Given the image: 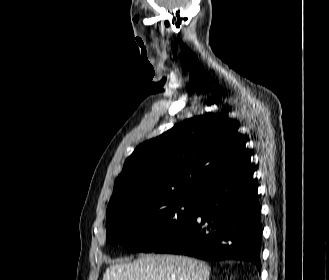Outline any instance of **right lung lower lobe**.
<instances>
[{"label":"right lung lower lobe","instance_id":"1","mask_svg":"<svg viewBox=\"0 0 329 280\" xmlns=\"http://www.w3.org/2000/svg\"><path fill=\"white\" fill-rule=\"evenodd\" d=\"M250 160L212 183L191 219L156 253L245 260L261 268V222Z\"/></svg>","mask_w":329,"mask_h":280}]
</instances>
